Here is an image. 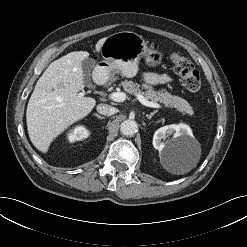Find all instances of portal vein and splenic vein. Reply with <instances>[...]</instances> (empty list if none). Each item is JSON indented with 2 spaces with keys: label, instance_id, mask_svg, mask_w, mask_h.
I'll use <instances>...</instances> for the list:
<instances>
[{
  "label": "portal vein and splenic vein",
  "instance_id": "1",
  "mask_svg": "<svg viewBox=\"0 0 247 247\" xmlns=\"http://www.w3.org/2000/svg\"><path fill=\"white\" fill-rule=\"evenodd\" d=\"M80 95L83 96L84 94L80 93ZM109 97L115 102H123V101H125L127 99V95L124 92H113V93L110 94ZM136 98L144 106L151 107V108H161L160 104H158L156 102L148 101V99H146L141 94H136Z\"/></svg>",
  "mask_w": 247,
  "mask_h": 247
}]
</instances>
